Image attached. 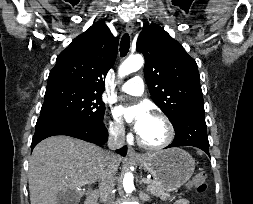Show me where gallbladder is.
Segmentation results:
<instances>
[{
	"mask_svg": "<svg viewBox=\"0 0 253 204\" xmlns=\"http://www.w3.org/2000/svg\"><path fill=\"white\" fill-rule=\"evenodd\" d=\"M77 192L65 191L61 192L57 196L56 204H78Z\"/></svg>",
	"mask_w": 253,
	"mask_h": 204,
	"instance_id": "obj_1",
	"label": "gallbladder"
}]
</instances>
